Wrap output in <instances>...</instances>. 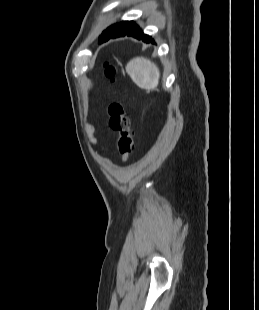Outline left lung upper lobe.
Instances as JSON below:
<instances>
[{"mask_svg":"<svg viewBox=\"0 0 259 310\" xmlns=\"http://www.w3.org/2000/svg\"><path fill=\"white\" fill-rule=\"evenodd\" d=\"M117 25L118 24H114V25L108 27L105 31H103L102 35L99 38V41H100V39H102V38L106 37L108 34H110L116 28Z\"/></svg>","mask_w":259,"mask_h":310,"instance_id":"5c2ea615","label":"left lung upper lobe"}]
</instances>
